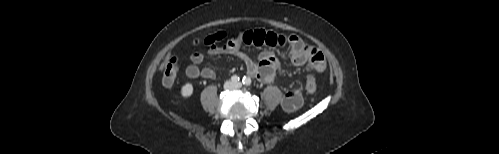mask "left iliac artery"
Wrapping results in <instances>:
<instances>
[{"instance_id":"44dca946","label":"left iliac artery","mask_w":499,"mask_h":154,"mask_svg":"<svg viewBox=\"0 0 499 154\" xmlns=\"http://www.w3.org/2000/svg\"><path fill=\"white\" fill-rule=\"evenodd\" d=\"M242 83L244 85H246V86H250L251 83H252V81H251V79L249 77L244 76L243 79H242Z\"/></svg>"}]
</instances>
